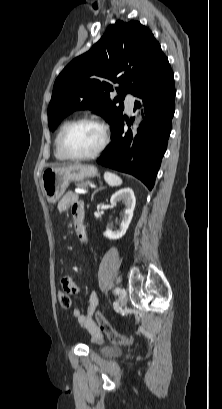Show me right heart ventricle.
<instances>
[{"label":"right heart ventricle","instance_id":"1","mask_svg":"<svg viewBox=\"0 0 222 409\" xmlns=\"http://www.w3.org/2000/svg\"><path fill=\"white\" fill-rule=\"evenodd\" d=\"M74 118H69L66 119L65 121H63L61 123V125L59 126V129L57 131V135L55 138V157L60 160V161H66L68 160L64 154L62 153L61 149H60V139H61V135L63 133V131L65 130V128L74 121Z\"/></svg>","mask_w":222,"mask_h":409}]
</instances>
